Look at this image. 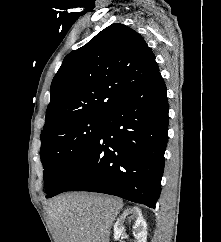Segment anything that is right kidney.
<instances>
[{"instance_id": "ca27d5eb", "label": "right kidney", "mask_w": 221, "mask_h": 242, "mask_svg": "<svg viewBox=\"0 0 221 242\" xmlns=\"http://www.w3.org/2000/svg\"><path fill=\"white\" fill-rule=\"evenodd\" d=\"M132 214V217L135 219L133 226L134 236L137 239V242H146L147 241V224L143 219L141 210L138 207L127 208L122 215L117 219L114 224V240H118L120 234L124 230V220Z\"/></svg>"}]
</instances>
